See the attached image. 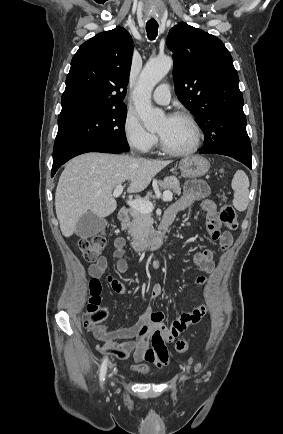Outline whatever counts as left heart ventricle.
Returning <instances> with one entry per match:
<instances>
[{
  "instance_id": "left-heart-ventricle-1",
  "label": "left heart ventricle",
  "mask_w": 283,
  "mask_h": 434,
  "mask_svg": "<svg viewBox=\"0 0 283 434\" xmlns=\"http://www.w3.org/2000/svg\"><path fill=\"white\" fill-rule=\"evenodd\" d=\"M157 132L172 149L185 150L193 144V129L184 119L164 117L157 127Z\"/></svg>"
}]
</instances>
